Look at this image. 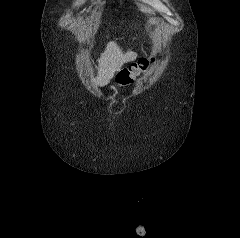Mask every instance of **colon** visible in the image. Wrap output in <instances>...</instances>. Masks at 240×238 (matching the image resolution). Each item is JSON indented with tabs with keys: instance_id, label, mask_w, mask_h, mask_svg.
I'll list each match as a JSON object with an SVG mask.
<instances>
[{
	"instance_id": "1",
	"label": "colon",
	"mask_w": 240,
	"mask_h": 238,
	"mask_svg": "<svg viewBox=\"0 0 240 238\" xmlns=\"http://www.w3.org/2000/svg\"><path fill=\"white\" fill-rule=\"evenodd\" d=\"M154 61V58H140L128 67L123 68L116 76L115 85L124 87L132 84L138 76L149 69Z\"/></svg>"
}]
</instances>
